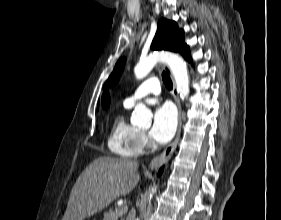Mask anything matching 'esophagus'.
<instances>
[{"instance_id": "esophagus-1", "label": "esophagus", "mask_w": 281, "mask_h": 220, "mask_svg": "<svg viewBox=\"0 0 281 220\" xmlns=\"http://www.w3.org/2000/svg\"><path fill=\"white\" fill-rule=\"evenodd\" d=\"M165 71L170 75L172 81H173V96L178 108V114H179V118H178V129H177V133H176V137L174 139V141L168 145L166 147V149L157 157H155L149 167L151 169L154 168H158L159 166L163 165L166 161H168L170 159V157L172 156L173 152L175 151L177 144L179 142L180 139V135H181V127H182V110H181V105H180V101H179V97H178V91H177V87L172 75L171 70L169 69V67L165 66L164 67Z\"/></svg>"}]
</instances>
